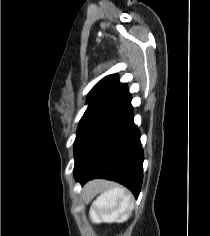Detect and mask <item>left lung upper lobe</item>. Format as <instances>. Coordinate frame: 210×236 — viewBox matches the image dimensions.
I'll list each match as a JSON object with an SVG mask.
<instances>
[{"label":"left lung upper lobe","mask_w":210,"mask_h":236,"mask_svg":"<svg viewBox=\"0 0 210 236\" xmlns=\"http://www.w3.org/2000/svg\"><path fill=\"white\" fill-rule=\"evenodd\" d=\"M126 89V84L119 82L117 74L108 75L100 80L88 94V108L79 122L77 136L84 127L108 108Z\"/></svg>","instance_id":"left-lung-upper-lobe-1"}]
</instances>
